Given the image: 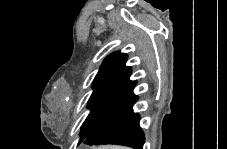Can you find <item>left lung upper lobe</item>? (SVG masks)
<instances>
[{"label":"left lung upper lobe","mask_w":227,"mask_h":149,"mask_svg":"<svg viewBox=\"0 0 227 149\" xmlns=\"http://www.w3.org/2000/svg\"><path fill=\"white\" fill-rule=\"evenodd\" d=\"M126 61L127 55L118 51L106 57L101 65L93 81V93L88 101L91 111L81 127L82 134L78 144L84 141L132 84L129 79L131 68L125 65Z\"/></svg>","instance_id":"obj_1"}]
</instances>
